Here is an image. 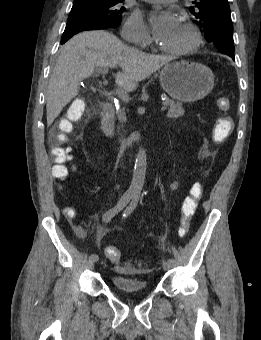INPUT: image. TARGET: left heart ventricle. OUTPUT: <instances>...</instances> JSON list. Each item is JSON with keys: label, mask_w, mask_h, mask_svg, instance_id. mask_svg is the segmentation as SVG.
<instances>
[{"label": "left heart ventricle", "mask_w": 261, "mask_h": 340, "mask_svg": "<svg viewBox=\"0 0 261 340\" xmlns=\"http://www.w3.org/2000/svg\"><path fill=\"white\" fill-rule=\"evenodd\" d=\"M191 42L192 36L190 32L183 26V24H181L178 30L168 39L161 42V44L169 49H180L190 45Z\"/></svg>", "instance_id": "obj_1"}]
</instances>
